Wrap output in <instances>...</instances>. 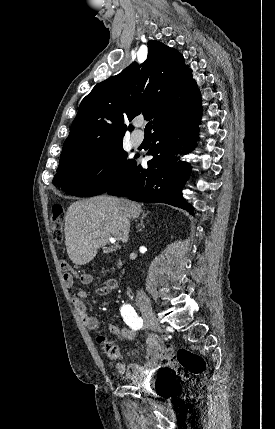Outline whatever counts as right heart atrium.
Here are the masks:
<instances>
[{"mask_svg":"<svg viewBox=\"0 0 275 429\" xmlns=\"http://www.w3.org/2000/svg\"><path fill=\"white\" fill-rule=\"evenodd\" d=\"M104 168H105L104 166H103V167H101V168H100V171H103V170H104Z\"/></svg>","mask_w":275,"mask_h":429,"instance_id":"right-heart-atrium-1","label":"right heart atrium"}]
</instances>
